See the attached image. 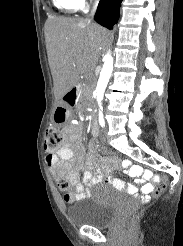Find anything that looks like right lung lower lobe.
<instances>
[{
  "label": "right lung lower lobe",
  "mask_w": 183,
  "mask_h": 246,
  "mask_svg": "<svg viewBox=\"0 0 183 246\" xmlns=\"http://www.w3.org/2000/svg\"><path fill=\"white\" fill-rule=\"evenodd\" d=\"M122 0H100L95 21L102 26L111 29L119 18V9Z\"/></svg>",
  "instance_id": "98d812e1"
}]
</instances>
